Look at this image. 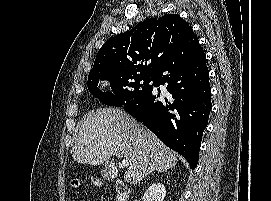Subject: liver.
<instances>
[{"mask_svg":"<svg viewBox=\"0 0 271 201\" xmlns=\"http://www.w3.org/2000/svg\"><path fill=\"white\" fill-rule=\"evenodd\" d=\"M71 153L75 161L94 166L103 164L112 154L128 159L124 180L131 184L159 168L171 169L178 162L176 153L155 134L115 108H98L85 116Z\"/></svg>","mask_w":271,"mask_h":201,"instance_id":"1","label":"liver"}]
</instances>
